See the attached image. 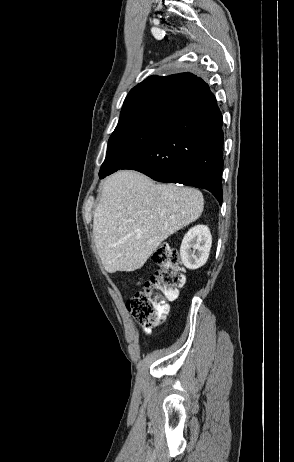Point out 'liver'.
Here are the masks:
<instances>
[{"label":"liver","mask_w":294,"mask_h":462,"mask_svg":"<svg viewBox=\"0 0 294 462\" xmlns=\"http://www.w3.org/2000/svg\"><path fill=\"white\" fill-rule=\"evenodd\" d=\"M204 207L197 189L155 184L136 171H118L101 188L93 235L105 270L140 269L170 235L197 220Z\"/></svg>","instance_id":"obj_1"}]
</instances>
